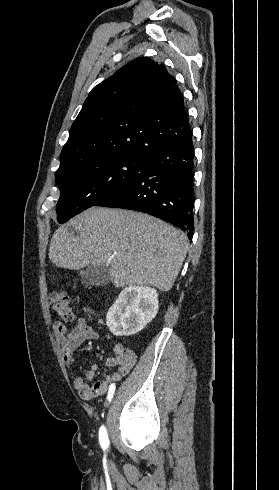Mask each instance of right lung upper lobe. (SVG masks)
<instances>
[{
    "instance_id": "right-lung-upper-lobe-1",
    "label": "right lung upper lobe",
    "mask_w": 279,
    "mask_h": 490,
    "mask_svg": "<svg viewBox=\"0 0 279 490\" xmlns=\"http://www.w3.org/2000/svg\"><path fill=\"white\" fill-rule=\"evenodd\" d=\"M191 136L175 78L164 65L137 58L92 89L71 126L55 176L97 158L150 160Z\"/></svg>"
}]
</instances>
